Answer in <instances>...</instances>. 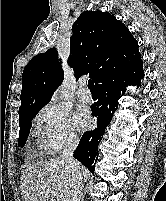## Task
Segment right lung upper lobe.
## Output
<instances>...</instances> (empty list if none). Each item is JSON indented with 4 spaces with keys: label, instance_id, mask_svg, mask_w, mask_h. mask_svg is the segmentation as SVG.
I'll use <instances>...</instances> for the list:
<instances>
[{
    "label": "right lung upper lobe",
    "instance_id": "right-lung-upper-lobe-1",
    "mask_svg": "<svg viewBox=\"0 0 166 201\" xmlns=\"http://www.w3.org/2000/svg\"><path fill=\"white\" fill-rule=\"evenodd\" d=\"M68 64L78 78L89 73L97 85L108 73L141 58L138 41L116 18L102 11H85L72 26ZM64 73L54 48L38 54L26 65L22 76L19 116L39 111L62 83Z\"/></svg>",
    "mask_w": 166,
    "mask_h": 201
}]
</instances>
